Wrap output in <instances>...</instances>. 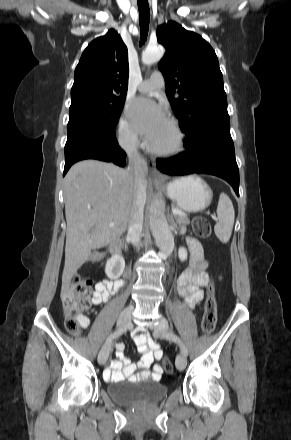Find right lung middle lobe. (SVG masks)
Here are the masks:
<instances>
[{"instance_id": "1", "label": "right lung middle lobe", "mask_w": 291, "mask_h": 440, "mask_svg": "<svg viewBox=\"0 0 291 440\" xmlns=\"http://www.w3.org/2000/svg\"><path fill=\"white\" fill-rule=\"evenodd\" d=\"M125 97L84 98L71 102L67 132L115 134Z\"/></svg>"}]
</instances>
